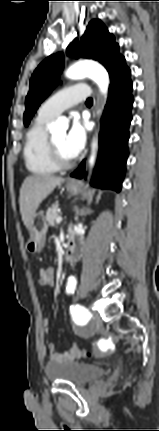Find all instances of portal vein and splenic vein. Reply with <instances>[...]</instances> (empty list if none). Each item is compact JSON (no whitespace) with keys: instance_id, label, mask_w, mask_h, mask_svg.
Segmentation results:
<instances>
[{"instance_id":"portal-vein-and-splenic-vein-1","label":"portal vein and splenic vein","mask_w":159,"mask_h":431,"mask_svg":"<svg viewBox=\"0 0 159 431\" xmlns=\"http://www.w3.org/2000/svg\"><path fill=\"white\" fill-rule=\"evenodd\" d=\"M62 221V217L61 216H59L57 219H56V222L57 223H60Z\"/></svg>"}]
</instances>
